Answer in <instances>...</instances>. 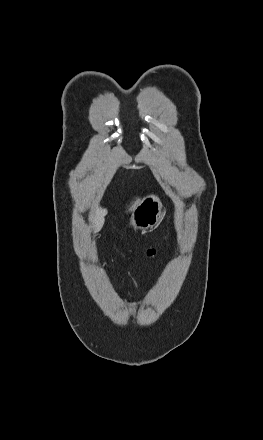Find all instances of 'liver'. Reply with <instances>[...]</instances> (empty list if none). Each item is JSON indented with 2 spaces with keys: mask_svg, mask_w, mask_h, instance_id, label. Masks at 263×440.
Returning <instances> with one entry per match:
<instances>
[{
  "mask_svg": "<svg viewBox=\"0 0 263 440\" xmlns=\"http://www.w3.org/2000/svg\"><path fill=\"white\" fill-rule=\"evenodd\" d=\"M136 202L134 203V205H132L129 208V211L133 210ZM106 214H107V209H104V208H101V207H96V209L91 213L89 219H90V221L93 224L95 232H99L102 229V227L104 225V222H105Z\"/></svg>",
  "mask_w": 263,
  "mask_h": 440,
  "instance_id": "liver-1",
  "label": "liver"
}]
</instances>
